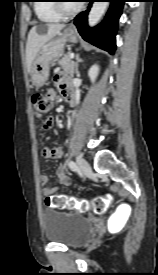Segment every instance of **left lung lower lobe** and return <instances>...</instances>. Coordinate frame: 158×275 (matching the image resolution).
I'll use <instances>...</instances> for the list:
<instances>
[{
    "instance_id": "left-lung-lower-lobe-1",
    "label": "left lung lower lobe",
    "mask_w": 158,
    "mask_h": 275,
    "mask_svg": "<svg viewBox=\"0 0 158 275\" xmlns=\"http://www.w3.org/2000/svg\"><path fill=\"white\" fill-rule=\"evenodd\" d=\"M111 2L105 19L95 28H88L87 14L89 9L76 16L74 24L77 26L80 35L91 44L113 54L116 49V30L118 19L122 13L125 0H107ZM93 1H91L92 3Z\"/></svg>"
}]
</instances>
